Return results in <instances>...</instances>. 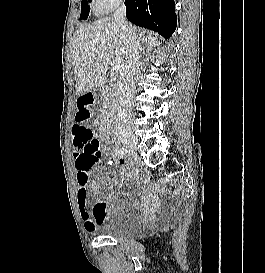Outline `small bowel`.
Returning <instances> with one entry per match:
<instances>
[{
	"mask_svg": "<svg viewBox=\"0 0 265 273\" xmlns=\"http://www.w3.org/2000/svg\"><path fill=\"white\" fill-rule=\"evenodd\" d=\"M93 99L88 95H82L77 99L76 122L72 126L71 138L73 157L77 184V203L80 216L84 222V227L88 233H95L98 226L107 219L109 209L104 198L99 193L100 185H109L114 182L112 175L98 177L91 182L92 169L87 165H82L85 157L86 146H78L79 129H88V124H83L90 119L93 110ZM120 175H124L129 166L128 160L124 157L119 159ZM94 198V204L90 205L91 198Z\"/></svg>",
	"mask_w": 265,
	"mask_h": 273,
	"instance_id": "c3829d8e",
	"label": "small bowel"
}]
</instances>
